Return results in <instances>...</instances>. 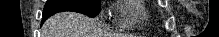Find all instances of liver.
Instances as JSON below:
<instances>
[{
    "instance_id": "1",
    "label": "liver",
    "mask_w": 219,
    "mask_h": 37,
    "mask_svg": "<svg viewBox=\"0 0 219 37\" xmlns=\"http://www.w3.org/2000/svg\"><path fill=\"white\" fill-rule=\"evenodd\" d=\"M45 37H98L97 24L82 14L62 12L50 17L44 24Z\"/></svg>"
}]
</instances>
